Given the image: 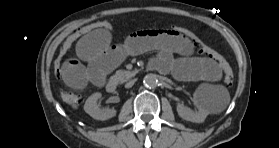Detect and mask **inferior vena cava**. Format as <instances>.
I'll return each mask as SVG.
<instances>
[{"label": "inferior vena cava", "mask_w": 279, "mask_h": 148, "mask_svg": "<svg viewBox=\"0 0 279 148\" xmlns=\"http://www.w3.org/2000/svg\"><path fill=\"white\" fill-rule=\"evenodd\" d=\"M134 82H135V80L129 81L128 83H126L125 87H126V88L132 87V86L134 85Z\"/></svg>", "instance_id": "obj_1"}]
</instances>
